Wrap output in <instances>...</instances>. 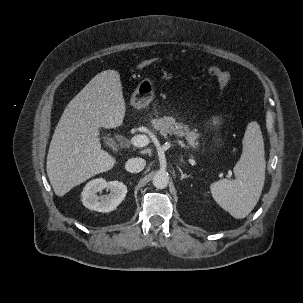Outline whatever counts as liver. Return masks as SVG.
<instances>
[{"mask_svg":"<svg viewBox=\"0 0 303 303\" xmlns=\"http://www.w3.org/2000/svg\"><path fill=\"white\" fill-rule=\"evenodd\" d=\"M125 111L120 75L115 70L97 74L70 101L47 155V175L57 196L113 168L116 159L101 149L99 129L122 125Z\"/></svg>","mask_w":303,"mask_h":303,"instance_id":"1","label":"liver"}]
</instances>
